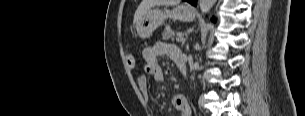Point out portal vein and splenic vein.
<instances>
[{
	"label": "portal vein and splenic vein",
	"mask_w": 305,
	"mask_h": 116,
	"mask_svg": "<svg viewBox=\"0 0 305 116\" xmlns=\"http://www.w3.org/2000/svg\"><path fill=\"white\" fill-rule=\"evenodd\" d=\"M176 41L177 42H183V41H185V38L183 36H179V37L176 38Z\"/></svg>",
	"instance_id": "portal-vein-and-splenic-vein-1"
}]
</instances>
